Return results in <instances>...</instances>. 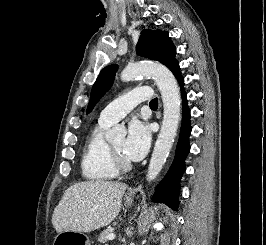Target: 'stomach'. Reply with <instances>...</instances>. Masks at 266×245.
I'll return each instance as SVG.
<instances>
[{
    "label": "stomach",
    "mask_w": 266,
    "mask_h": 245,
    "mask_svg": "<svg viewBox=\"0 0 266 245\" xmlns=\"http://www.w3.org/2000/svg\"><path fill=\"white\" fill-rule=\"evenodd\" d=\"M125 207H132V201L130 197H125L124 199ZM58 242H73V245H90L89 237L84 235V233H78V231H73V233H57Z\"/></svg>",
    "instance_id": "obj_1"
}]
</instances>
